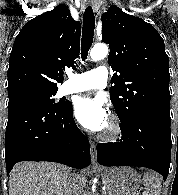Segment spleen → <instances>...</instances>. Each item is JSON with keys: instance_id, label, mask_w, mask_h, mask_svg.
<instances>
[{"instance_id": "3e777b00", "label": "spleen", "mask_w": 178, "mask_h": 195, "mask_svg": "<svg viewBox=\"0 0 178 195\" xmlns=\"http://www.w3.org/2000/svg\"><path fill=\"white\" fill-rule=\"evenodd\" d=\"M143 184L150 195H160L161 192V178L158 174L149 172L144 175Z\"/></svg>"}]
</instances>
